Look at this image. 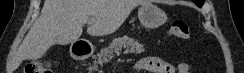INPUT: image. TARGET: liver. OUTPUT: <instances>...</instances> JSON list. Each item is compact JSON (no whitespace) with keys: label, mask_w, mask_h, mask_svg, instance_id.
<instances>
[{"label":"liver","mask_w":244,"mask_h":73,"mask_svg":"<svg viewBox=\"0 0 244 73\" xmlns=\"http://www.w3.org/2000/svg\"><path fill=\"white\" fill-rule=\"evenodd\" d=\"M145 0H45L41 15L21 43L15 67L23 60L42 57L55 43L66 45L76 41L88 19H95L87 28L92 36L114 33L131 11Z\"/></svg>","instance_id":"1"}]
</instances>
